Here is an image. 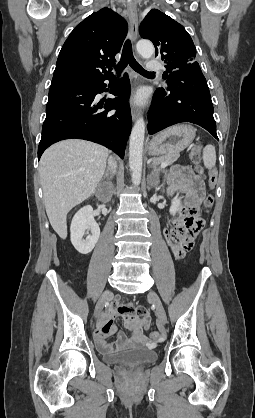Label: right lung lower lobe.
Here are the masks:
<instances>
[{
	"label": "right lung lower lobe",
	"instance_id": "98d812e1",
	"mask_svg": "<svg viewBox=\"0 0 255 418\" xmlns=\"http://www.w3.org/2000/svg\"><path fill=\"white\" fill-rule=\"evenodd\" d=\"M105 80L112 84L113 76L50 87L38 159L53 143L70 138L99 143L124 157L131 132V114L127 104L130 83L125 74L116 85H109L111 93L117 97L97 103L95 96L105 90Z\"/></svg>",
	"mask_w": 255,
	"mask_h": 418
}]
</instances>
